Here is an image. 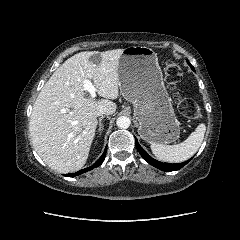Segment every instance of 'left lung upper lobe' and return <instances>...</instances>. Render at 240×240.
<instances>
[{
  "instance_id": "left-lung-upper-lobe-1",
  "label": "left lung upper lobe",
  "mask_w": 240,
  "mask_h": 240,
  "mask_svg": "<svg viewBox=\"0 0 240 240\" xmlns=\"http://www.w3.org/2000/svg\"><path fill=\"white\" fill-rule=\"evenodd\" d=\"M187 63L189 64V66L191 67L192 70H194V67L187 61Z\"/></svg>"
}]
</instances>
